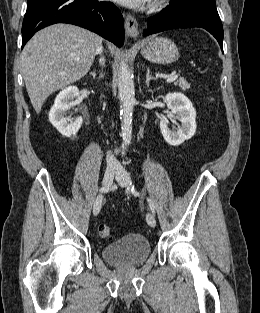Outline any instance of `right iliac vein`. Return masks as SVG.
<instances>
[{
    "label": "right iliac vein",
    "mask_w": 260,
    "mask_h": 313,
    "mask_svg": "<svg viewBox=\"0 0 260 313\" xmlns=\"http://www.w3.org/2000/svg\"><path fill=\"white\" fill-rule=\"evenodd\" d=\"M114 175H115V170L113 168H108L106 170L104 177H103V181H102V189H107L108 187L111 186L113 179H114ZM102 198H103V193H100L94 201V204H93L94 215H98L101 210Z\"/></svg>",
    "instance_id": "right-iliac-vein-1"
}]
</instances>
